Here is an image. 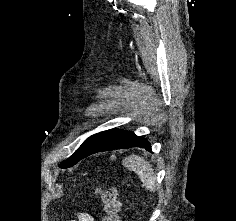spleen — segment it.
Masks as SVG:
<instances>
[{"label": "spleen", "instance_id": "1", "mask_svg": "<svg viewBox=\"0 0 236 221\" xmlns=\"http://www.w3.org/2000/svg\"><path fill=\"white\" fill-rule=\"evenodd\" d=\"M123 165L134 171L148 190L154 192L156 188V176L150 162L141 156L132 155L123 160Z\"/></svg>", "mask_w": 236, "mask_h": 221}]
</instances>
